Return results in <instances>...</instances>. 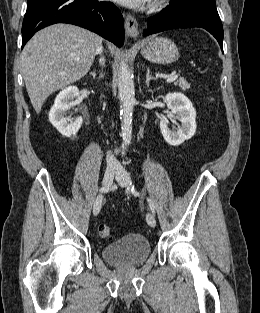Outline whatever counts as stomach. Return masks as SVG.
Returning <instances> with one entry per match:
<instances>
[{"label":"stomach","mask_w":260,"mask_h":313,"mask_svg":"<svg viewBox=\"0 0 260 313\" xmlns=\"http://www.w3.org/2000/svg\"><path fill=\"white\" fill-rule=\"evenodd\" d=\"M141 54L148 61L158 64H171L179 58L175 43L166 37L151 36L140 44Z\"/></svg>","instance_id":"0dacf381"}]
</instances>
